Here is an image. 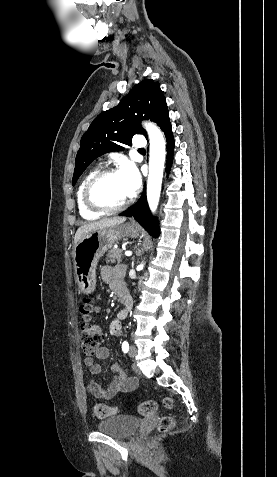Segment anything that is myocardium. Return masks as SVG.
Masks as SVG:
<instances>
[{"label": "myocardium", "instance_id": "f54148a6", "mask_svg": "<svg viewBox=\"0 0 277 477\" xmlns=\"http://www.w3.org/2000/svg\"><path fill=\"white\" fill-rule=\"evenodd\" d=\"M118 173V171L114 168H107L98 171L95 173L86 183L83 189V202L84 205L91 211L101 214H111L119 212L125 209L130 201L126 199L122 203L116 206H108L99 202L94 196V190L96 186L106 177Z\"/></svg>", "mask_w": 277, "mask_h": 477}]
</instances>
